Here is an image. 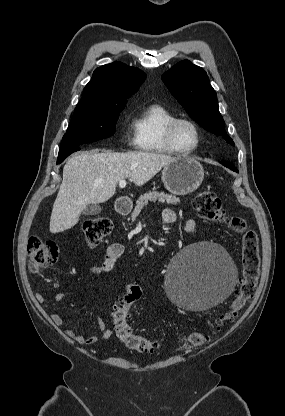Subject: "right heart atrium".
Returning <instances> with one entry per match:
<instances>
[{
  "label": "right heart atrium",
  "mask_w": 285,
  "mask_h": 416,
  "mask_svg": "<svg viewBox=\"0 0 285 416\" xmlns=\"http://www.w3.org/2000/svg\"><path fill=\"white\" fill-rule=\"evenodd\" d=\"M125 142L128 147L136 146V134H135L134 127L130 121L125 131Z\"/></svg>",
  "instance_id": "obj_1"
}]
</instances>
